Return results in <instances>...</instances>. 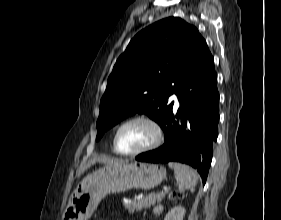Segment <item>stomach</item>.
I'll use <instances>...</instances> for the list:
<instances>
[{
  "mask_svg": "<svg viewBox=\"0 0 281 220\" xmlns=\"http://www.w3.org/2000/svg\"><path fill=\"white\" fill-rule=\"evenodd\" d=\"M165 178L166 169L152 163L134 162L98 169L78 184L62 220H88L107 194L152 189Z\"/></svg>",
  "mask_w": 281,
  "mask_h": 220,
  "instance_id": "obj_1",
  "label": "stomach"
}]
</instances>
